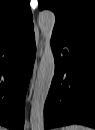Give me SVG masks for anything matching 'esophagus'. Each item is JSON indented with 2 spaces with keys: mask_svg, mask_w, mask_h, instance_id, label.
<instances>
[{
  "mask_svg": "<svg viewBox=\"0 0 95 130\" xmlns=\"http://www.w3.org/2000/svg\"><path fill=\"white\" fill-rule=\"evenodd\" d=\"M45 48V43L44 41L41 39L40 42H39V54L41 55L43 50Z\"/></svg>",
  "mask_w": 95,
  "mask_h": 130,
  "instance_id": "1",
  "label": "esophagus"
}]
</instances>
